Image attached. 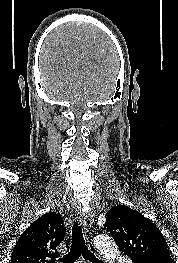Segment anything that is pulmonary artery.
Masks as SVG:
<instances>
[{"instance_id": "1", "label": "pulmonary artery", "mask_w": 178, "mask_h": 263, "mask_svg": "<svg viewBox=\"0 0 178 263\" xmlns=\"http://www.w3.org/2000/svg\"><path fill=\"white\" fill-rule=\"evenodd\" d=\"M119 263H131L129 259L123 258L119 260Z\"/></svg>"}]
</instances>
